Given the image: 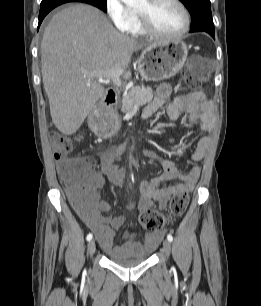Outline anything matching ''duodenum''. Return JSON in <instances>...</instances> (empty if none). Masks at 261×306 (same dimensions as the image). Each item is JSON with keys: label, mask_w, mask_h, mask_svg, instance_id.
<instances>
[{"label": "duodenum", "mask_w": 261, "mask_h": 306, "mask_svg": "<svg viewBox=\"0 0 261 306\" xmlns=\"http://www.w3.org/2000/svg\"><path fill=\"white\" fill-rule=\"evenodd\" d=\"M117 100V93L113 88H108L104 98L101 101L102 109H108L113 106Z\"/></svg>", "instance_id": "410a0bca"}]
</instances>
